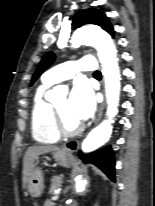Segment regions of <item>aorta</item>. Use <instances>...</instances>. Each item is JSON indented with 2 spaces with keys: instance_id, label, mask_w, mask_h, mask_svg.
Returning a JSON list of instances; mask_svg holds the SVG:
<instances>
[{
  "instance_id": "obj_1",
  "label": "aorta",
  "mask_w": 155,
  "mask_h": 206,
  "mask_svg": "<svg viewBox=\"0 0 155 206\" xmlns=\"http://www.w3.org/2000/svg\"><path fill=\"white\" fill-rule=\"evenodd\" d=\"M72 47L77 48L81 45H90L96 48L99 60L103 67V75L105 79V90L107 100V119L103 120L95 127L82 143V150L85 153L94 151L104 145L112 134V124L114 117L118 112L119 94H120V72L117 63L116 49L111 37L102 29L97 27H82L77 29L71 38ZM59 90L54 88L49 95L52 97ZM86 188V181L76 179L74 185L75 192H82ZM69 197L66 201L67 205L72 203Z\"/></svg>"
}]
</instances>
